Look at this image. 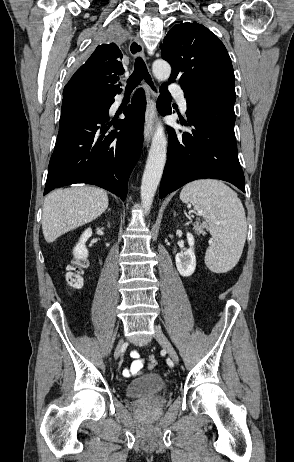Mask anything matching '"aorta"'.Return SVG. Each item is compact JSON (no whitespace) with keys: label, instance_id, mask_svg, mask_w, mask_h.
<instances>
[{"label":"aorta","instance_id":"aorta-1","mask_svg":"<svg viewBox=\"0 0 294 462\" xmlns=\"http://www.w3.org/2000/svg\"><path fill=\"white\" fill-rule=\"evenodd\" d=\"M155 78L165 81L170 77L171 66L164 60H156L152 65ZM167 139L162 124L159 122L154 132L141 183V202L149 213L154 195L160 183L166 163Z\"/></svg>","mask_w":294,"mask_h":462}]
</instances>
